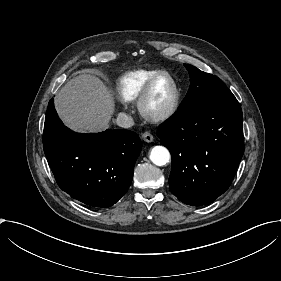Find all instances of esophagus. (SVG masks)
<instances>
[{"mask_svg": "<svg viewBox=\"0 0 281 281\" xmlns=\"http://www.w3.org/2000/svg\"><path fill=\"white\" fill-rule=\"evenodd\" d=\"M142 138L145 142H148V143H150L154 140L153 135L149 132L142 133Z\"/></svg>", "mask_w": 281, "mask_h": 281, "instance_id": "1", "label": "esophagus"}]
</instances>
